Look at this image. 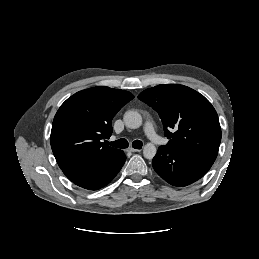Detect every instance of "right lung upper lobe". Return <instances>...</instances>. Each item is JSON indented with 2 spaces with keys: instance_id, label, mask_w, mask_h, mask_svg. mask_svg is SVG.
<instances>
[{
  "instance_id": "1",
  "label": "right lung upper lobe",
  "mask_w": 259,
  "mask_h": 259,
  "mask_svg": "<svg viewBox=\"0 0 259 259\" xmlns=\"http://www.w3.org/2000/svg\"><path fill=\"white\" fill-rule=\"evenodd\" d=\"M134 96L124 90L99 86L79 91L57 111L51 130L53 154L62 170L87 167L119 149L105 145L111 121Z\"/></svg>"
}]
</instances>
